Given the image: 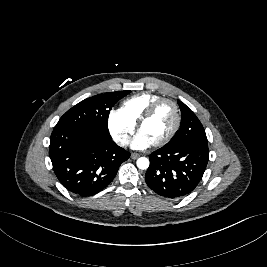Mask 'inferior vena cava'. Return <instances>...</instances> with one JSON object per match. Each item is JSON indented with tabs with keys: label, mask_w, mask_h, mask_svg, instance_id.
<instances>
[{
	"label": "inferior vena cava",
	"mask_w": 267,
	"mask_h": 267,
	"mask_svg": "<svg viewBox=\"0 0 267 267\" xmlns=\"http://www.w3.org/2000/svg\"><path fill=\"white\" fill-rule=\"evenodd\" d=\"M120 144H121V145H124V143H123V142H120Z\"/></svg>",
	"instance_id": "obj_1"
}]
</instances>
